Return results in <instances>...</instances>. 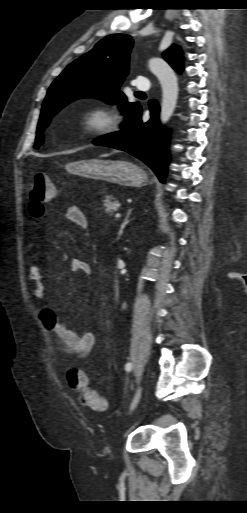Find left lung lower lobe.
<instances>
[{
  "mask_svg": "<svg viewBox=\"0 0 247 513\" xmlns=\"http://www.w3.org/2000/svg\"><path fill=\"white\" fill-rule=\"evenodd\" d=\"M183 64L175 70L181 72ZM150 110L152 118L143 123L141 107L138 104L128 115L127 126L118 133L109 134L93 141L99 146L112 147L123 150L146 163L164 182L169 162L168 137L166 130L159 125V106L157 101L151 100Z\"/></svg>",
  "mask_w": 247,
  "mask_h": 513,
  "instance_id": "1",
  "label": "left lung lower lobe"
}]
</instances>
